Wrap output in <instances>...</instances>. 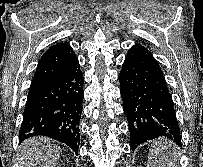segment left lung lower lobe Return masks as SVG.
Segmentation results:
<instances>
[{"label":"left lung lower lobe","instance_id":"left-lung-lower-lobe-1","mask_svg":"<svg viewBox=\"0 0 203 167\" xmlns=\"http://www.w3.org/2000/svg\"><path fill=\"white\" fill-rule=\"evenodd\" d=\"M119 82L132 150L156 138L171 139L181 147L172 97L161 67L147 48L135 44L128 50Z\"/></svg>","mask_w":203,"mask_h":167}]
</instances>
